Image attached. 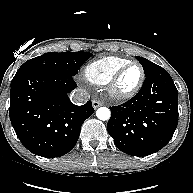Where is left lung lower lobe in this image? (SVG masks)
Listing matches in <instances>:
<instances>
[{"label":"left lung lower lobe","mask_w":193,"mask_h":193,"mask_svg":"<svg viewBox=\"0 0 193 193\" xmlns=\"http://www.w3.org/2000/svg\"><path fill=\"white\" fill-rule=\"evenodd\" d=\"M107 130L122 152L147 156L172 138L178 124V91L162 67L146 76L140 91L121 106L110 107Z\"/></svg>","instance_id":"1"}]
</instances>
